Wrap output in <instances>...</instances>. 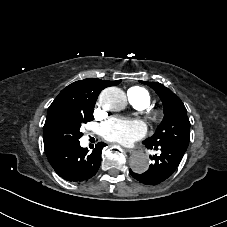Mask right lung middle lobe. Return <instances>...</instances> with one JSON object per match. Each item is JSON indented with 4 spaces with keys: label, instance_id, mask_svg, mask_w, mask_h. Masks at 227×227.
I'll list each match as a JSON object with an SVG mask.
<instances>
[{
    "label": "right lung middle lobe",
    "instance_id": "right-lung-middle-lobe-1",
    "mask_svg": "<svg viewBox=\"0 0 227 227\" xmlns=\"http://www.w3.org/2000/svg\"><path fill=\"white\" fill-rule=\"evenodd\" d=\"M94 104L76 105L60 102L48 109L43 140L46 154L78 143L82 124L93 120Z\"/></svg>",
    "mask_w": 227,
    "mask_h": 227
}]
</instances>
